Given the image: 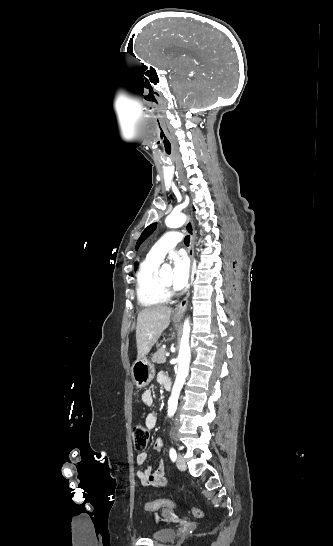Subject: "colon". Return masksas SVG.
<instances>
[{
	"label": "colon",
	"instance_id": "1",
	"mask_svg": "<svg viewBox=\"0 0 333 546\" xmlns=\"http://www.w3.org/2000/svg\"><path fill=\"white\" fill-rule=\"evenodd\" d=\"M133 444L136 450H143L147 447L149 441V432L142 425H136L133 427L132 432ZM163 507H176V504L167 499H158L151 502H145L144 508L147 511L154 512ZM188 512L195 518H203L204 512L199 509L192 507Z\"/></svg>",
	"mask_w": 333,
	"mask_h": 546
}]
</instances>
